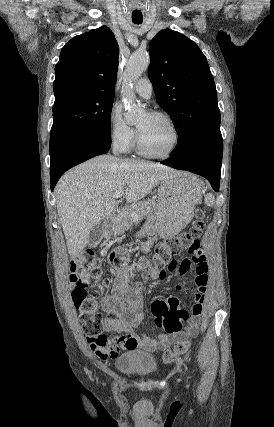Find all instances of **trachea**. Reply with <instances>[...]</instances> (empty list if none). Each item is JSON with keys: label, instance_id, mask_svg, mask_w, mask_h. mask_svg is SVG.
<instances>
[{"label": "trachea", "instance_id": "3493384b", "mask_svg": "<svg viewBox=\"0 0 274 427\" xmlns=\"http://www.w3.org/2000/svg\"><path fill=\"white\" fill-rule=\"evenodd\" d=\"M133 23H135L136 25H139L140 23H142V20H132Z\"/></svg>", "mask_w": 274, "mask_h": 427}]
</instances>
